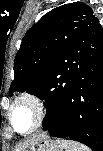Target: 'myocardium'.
<instances>
[{
	"label": "myocardium",
	"mask_w": 103,
	"mask_h": 151,
	"mask_svg": "<svg viewBox=\"0 0 103 151\" xmlns=\"http://www.w3.org/2000/svg\"><path fill=\"white\" fill-rule=\"evenodd\" d=\"M21 103L30 104L35 112V122L33 126L29 130L24 132L18 131L12 120V112L14 108ZM46 117L47 110L44 101L39 95L32 92H22L19 95H17L13 99L7 110V119L9 121L10 126L13 128L14 131H16L20 135H29L39 130L44 125Z\"/></svg>",
	"instance_id": "1"
}]
</instances>
